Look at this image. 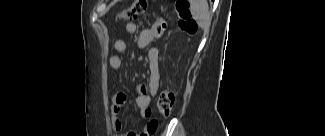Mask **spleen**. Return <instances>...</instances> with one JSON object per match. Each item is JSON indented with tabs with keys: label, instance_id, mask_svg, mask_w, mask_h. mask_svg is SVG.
Returning a JSON list of instances; mask_svg holds the SVG:
<instances>
[{
	"label": "spleen",
	"instance_id": "obj_1",
	"mask_svg": "<svg viewBox=\"0 0 325 136\" xmlns=\"http://www.w3.org/2000/svg\"><path fill=\"white\" fill-rule=\"evenodd\" d=\"M193 17L203 28L209 27L211 18L208 12V4L206 0L194 2L191 8Z\"/></svg>",
	"mask_w": 325,
	"mask_h": 136
}]
</instances>
